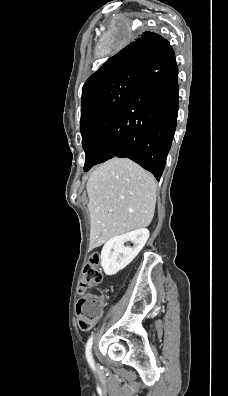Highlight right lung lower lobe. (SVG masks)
<instances>
[{
  "mask_svg": "<svg viewBox=\"0 0 228 396\" xmlns=\"http://www.w3.org/2000/svg\"><path fill=\"white\" fill-rule=\"evenodd\" d=\"M178 98L175 54L165 42L144 60L95 165L113 157L129 158L159 181L176 128Z\"/></svg>",
  "mask_w": 228,
  "mask_h": 396,
  "instance_id": "obj_1",
  "label": "right lung lower lobe"
}]
</instances>
